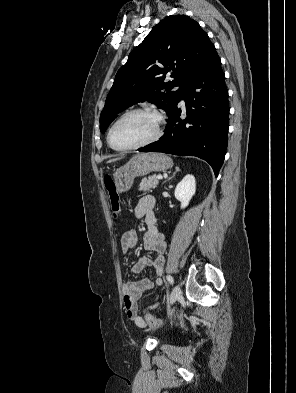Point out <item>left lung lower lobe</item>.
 <instances>
[{
  "mask_svg": "<svg viewBox=\"0 0 296 393\" xmlns=\"http://www.w3.org/2000/svg\"><path fill=\"white\" fill-rule=\"evenodd\" d=\"M183 98L186 119L180 118L181 109L176 105L164 136L138 150L196 156L207 161L217 176L227 148L229 106L225 75L216 50L189 80L178 103Z\"/></svg>",
  "mask_w": 296,
  "mask_h": 393,
  "instance_id": "left-lung-lower-lobe-1",
  "label": "left lung lower lobe"
}]
</instances>
